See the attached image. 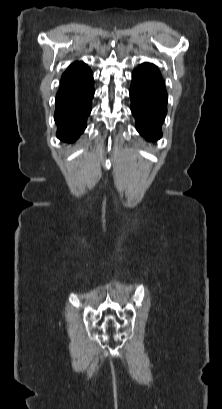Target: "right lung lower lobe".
<instances>
[{
    "label": "right lung lower lobe",
    "mask_w": 222,
    "mask_h": 409,
    "mask_svg": "<svg viewBox=\"0 0 222 409\" xmlns=\"http://www.w3.org/2000/svg\"><path fill=\"white\" fill-rule=\"evenodd\" d=\"M61 81L68 85L56 95L54 119L57 124V137L72 143L86 128V119L92 109L94 80L92 71L84 73H65Z\"/></svg>",
    "instance_id": "1"
}]
</instances>
